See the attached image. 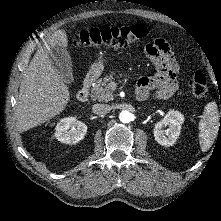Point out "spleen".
I'll return each mask as SVG.
<instances>
[{"mask_svg": "<svg viewBox=\"0 0 221 221\" xmlns=\"http://www.w3.org/2000/svg\"><path fill=\"white\" fill-rule=\"evenodd\" d=\"M219 130V114L217 104L210 102L206 105L199 122V142L201 150L206 152L214 143Z\"/></svg>", "mask_w": 221, "mask_h": 221, "instance_id": "spleen-1", "label": "spleen"}]
</instances>
